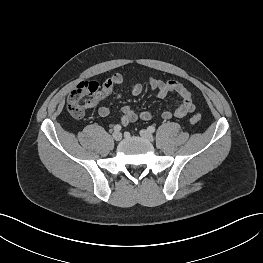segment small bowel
I'll return each mask as SVG.
<instances>
[{
  "instance_id": "obj_1",
  "label": "small bowel",
  "mask_w": 263,
  "mask_h": 263,
  "mask_svg": "<svg viewBox=\"0 0 263 263\" xmlns=\"http://www.w3.org/2000/svg\"><path fill=\"white\" fill-rule=\"evenodd\" d=\"M124 79L120 74H113L107 77L102 83L98 93L94 96L92 105L96 106L109 95L115 92L117 86L122 85ZM148 83L150 88L156 92L158 98H165L169 93L175 92L181 97V103L175 107L173 111H164L162 118L164 120H170L174 117L183 118L192 113L195 109V105L191 96L190 90L180 81L169 80L162 81L156 78H149ZM130 91L133 95H140L143 91V86L140 83H134L130 86ZM117 98L120 97L119 93H116ZM98 114L101 117H107L110 115V109L107 106H100L98 108ZM143 121H150L153 118L151 112L143 110L137 113L130 106H124L119 117V121L122 125H128L137 119Z\"/></svg>"
}]
</instances>
